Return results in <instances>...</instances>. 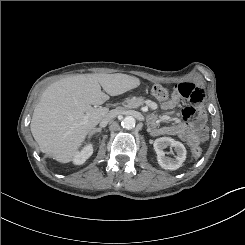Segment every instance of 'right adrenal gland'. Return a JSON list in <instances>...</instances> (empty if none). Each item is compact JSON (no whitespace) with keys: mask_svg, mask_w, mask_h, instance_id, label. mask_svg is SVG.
I'll return each instance as SVG.
<instances>
[{"mask_svg":"<svg viewBox=\"0 0 245 245\" xmlns=\"http://www.w3.org/2000/svg\"><path fill=\"white\" fill-rule=\"evenodd\" d=\"M102 128H94L90 133H89V138H91L92 135H94L97 132H101Z\"/></svg>","mask_w":245,"mask_h":245,"instance_id":"1","label":"right adrenal gland"}]
</instances>
